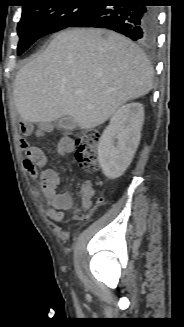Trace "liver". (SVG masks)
I'll return each mask as SVG.
<instances>
[{
    "instance_id": "obj_1",
    "label": "liver",
    "mask_w": 184,
    "mask_h": 327,
    "mask_svg": "<svg viewBox=\"0 0 184 327\" xmlns=\"http://www.w3.org/2000/svg\"><path fill=\"white\" fill-rule=\"evenodd\" d=\"M152 87L153 67L130 39L104 29H70L18 71L14 100L23 121L70 116L81 129H92Z\"/></svg>"
}]
</instances>
